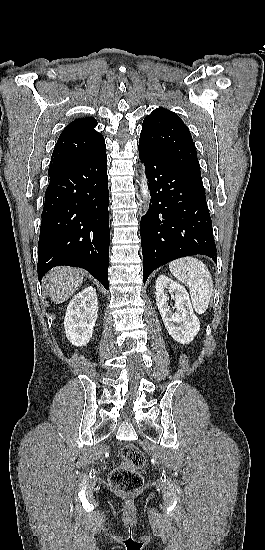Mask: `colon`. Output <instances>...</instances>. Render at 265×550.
<instances>
[{
  "label": "colon",
  "mask_w": 265,
  "mask_h": 550,
  "mask_svg": "<svg viewBox=\"0 0 265 550\" xmlns=\"http://www.w3.org/2000/svg\"><path fill=\"white\" fill-rule=\"evenodd\" d=\"M120 457L121 463L109 475L110 488L122 494L138 491L143 485L139 472L145 465L143 452L137 446L128 444L121 448Z\"/></svg>",
  "instance_id": "1"
}]
</instances>
